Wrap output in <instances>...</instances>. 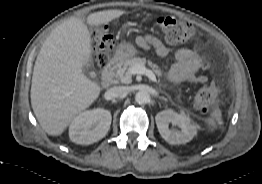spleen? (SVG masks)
<instances>
[{"mask_svg": "<svg viewBox=\"0 0 262 184\" xmlns=\"http://www.w3.org/2000/svg\"><path fill=\"white\" fill-rule=\"evenodd\" d=\"M221 117V112L219 110H215L212 114V118L208 120L211 126H214V119H219Z\"/></svg>", "mask_w": 262, "mask_h": 184, "instance_id": "obj_1", "label": "spleen"}]
</instances>
